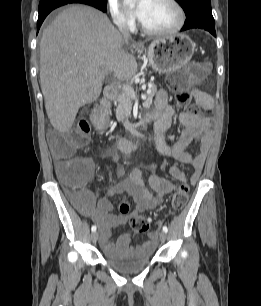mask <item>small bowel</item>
<instances>
[{"instance_id": "small-bowel-1", "label": "small bowel", "mask_w": 261, "mask_h": 306, "mask_svg": "<svg viewBox=\"0 0 261 306\" xmlns=\"http://www.w3.org/2000/svg\"><path fill=\"white\" fill-rule=\"evenodd\" d=\"M194 100L205 111L211 110L213 102L211 98L202 91L194 92ZM181 106L180 103L169 104L168 94L161 90L158 92L155 101V110L153 117L155 118V141L158 153L161 156L173 158L181 163L189 164L193 168V174L187 178L185 174L175 166L170 167L169 172L172 177L178 181H190L195 183L200 177L207 155L211 148L214 132L215 121L207 115H200L193 112L179 113L177 109ZM176 120L182 125L183 130L178 141L169 146L164 139V132L170 127L172 122ZM193 143L200 144V153L197 155L190 154L186 149ZM108 158L112 162H117V153L111 151ZM89 167V176L91 179L94 163L91 159H86ZM68 162L57 161L56 169L59 172L63 167L67 166ZM158 163L153 162L150 169L148 184L155 189L156 196H153L146 185L140 169H133L129 177L107 190L108 196H113L121 193L130 195L135 202V209L129 214L113 215L111 210L113 204L108 197H103L95 202V197L91 192H86L81 204V210L88 215L99 226L101 232V243L107 250H111L112 231L116 227L125 225L132 216L138 212L149 209H154L160 205L161 198L173 192L177 185L173 182L161 178L156 170ZM121 168H117V174L122 175ZM156 234L149 236L147 244L154 245L156 243ZM125 239L118 243H125Z\"/></svg>"}]
</instances>
